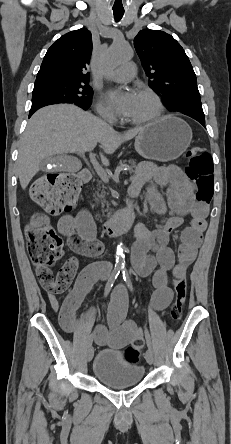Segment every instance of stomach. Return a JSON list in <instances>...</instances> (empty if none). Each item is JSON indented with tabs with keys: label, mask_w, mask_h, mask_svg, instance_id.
<instances>
[{
	"label": "stomach",
	"mask_w": 231,
	"mask_h": 444,
	"mask_svg": "<svg viewBox=\"0 0 231 444\" xmlns=\"http://www.w3.org/2000/svg\"><path fill=\"white\" fill-rule=\"evenodd\" d=\"M191 140L189 125L170 115L147 125L135 138L134 147L146 159L167 162L183 154Z\"/></svg>",
	"instance_id": "0dacf381"
}]
</instances>
